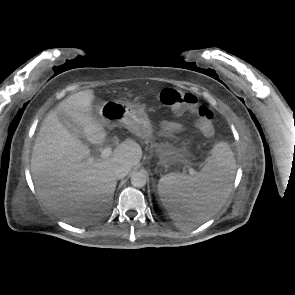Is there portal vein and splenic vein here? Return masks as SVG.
<instances>
[{
	"instance_id": "18ae733b",
	"label": "portal vein and splenic vein",
	"mask_w": 295,
	"mask_h": 295,
	"mask_svg": "<svg viewBox=\"0 0 295 295\" xmlns=\"http://www.w3.org/2000/svg\"><path fill=\"white\" fill-rule=\"evenodd\" d=\"M111 154H112V149H111L110 147H105V148L102 150V152H101V158H102V159H107V158H109V157L111 156ZM189 173H190L191 175L195 174L194 169H193V168H190V169H189Z\"/></svg>"
}]
</instances>
